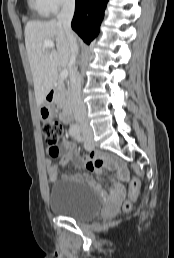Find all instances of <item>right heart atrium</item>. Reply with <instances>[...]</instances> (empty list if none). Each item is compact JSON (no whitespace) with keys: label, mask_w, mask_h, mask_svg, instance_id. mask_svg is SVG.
Wrapping results in <instances>:
<instances>
[{"label":"right heart atrium","mask_w":174,"mask_h":258,"mask_svg":"<svg viewBox=\"0 0 174 258\" xmlns=\"http://www.w3.org/2000/svg\"><path fill=\"white\" fill-rule=\"evenodd\" d=\"M50 14L57 13L60 9L74 3V0H43Z\"/></svg>","instance_id":"obj_1"}]
</instances>
